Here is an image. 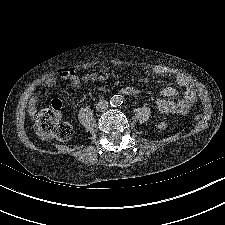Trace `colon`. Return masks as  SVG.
<instances>
[{
	"mask_svg": "<svg viewBox=\"0 0 225 225\" xmlns=\"http://www.w3.org/2000/svg\"><path fill=\"white\" fill-rule=\"evenodd\" d=\"M112 71H105L98 73L100 77H107ZM73 75L72 71H61L59 77L68 78ZM62 104L59 100H54L52 105L41 111L37 115L36 126L40 135L48 137L52 136L59 140H68L73 134L72 126L62 120L61 114ZM158 130H164L167 127V123L160 121L156 125Z\"/></svg>",
	"mask_w": 225,
	"mask_h": 225,
	"instance_id": "1",
	"label": "colon"
}]
</instances>
